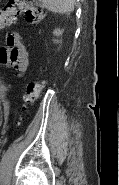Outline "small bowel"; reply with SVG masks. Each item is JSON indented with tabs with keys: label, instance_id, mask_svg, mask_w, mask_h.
<instances>
[{
	"label": "small bowel",
	"instance_id": "c3829d8e",
	"mask_svg": "<svg viewBox=\"0 0 119 185\" xmlns=\"http://www.w3.org/2000/svg\"><path fill=\"white\" fill-rule=\"evenodd\" d=\"M0 61L5 64H14L25 68L28 64L27 53L19 44V37L16 33H9L7 46L0 50Z\"/></svg>",
	"mask_w": 119,
	"mask_h": 185
}]
</instances>
